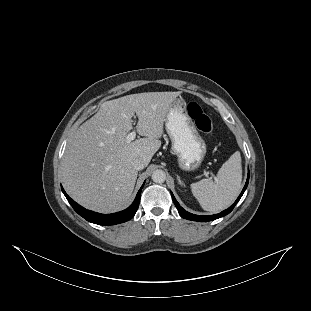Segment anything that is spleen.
Returning <instances> with one entry per match:
<instances>
[{
  "label": "spleen",
  "instance_id": "spleen-1",
  "mask_svg": "<svg viewBox=\"0 0 311 311\" xmlns=\"http://www.w3.org/2000/svg\"><path fill=\"white\" fill-rule=\"evenodd\" d=\"M240 153L234 152L213 178L191 183L190 190L202 209L218 212L228 207L241 190Z\"/></svg>",
  "mask_w": 311,
  "mask_h": 311
}]
</instances>
